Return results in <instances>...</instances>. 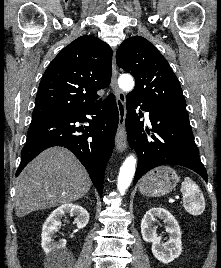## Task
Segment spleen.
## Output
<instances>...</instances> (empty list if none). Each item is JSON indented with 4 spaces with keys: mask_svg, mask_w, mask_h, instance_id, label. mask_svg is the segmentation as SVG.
<instances>
[{
    "mask_svg": "<svg viewBox=\"0 0 221 268\" xmlns=\"http://www.w3.org/2000/svg\"><path fill=\"white\" fill-rule=\"evenodd\" d=\"M183 207L192 215H200L205 209V199L199 186L189 177L181 185Z\"/></svg>",
    "mask_w": 221,
    "mask_h": 268,
    "instance_id": "1",
    "label": "spleen"
}]
</instances>
